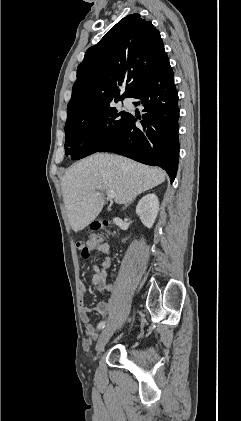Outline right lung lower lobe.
<instances>
[{
  "mask_svg": "<svg viewBox=\"0 0 241 421\" xmlns=\"http://www.w3.org/2000/svg\"><path fill=\"white\" fill-rule=\"evenodd\" d=\"M130 97L139 100L135 105L144 107L142 127L135 126L140 117L130 114L118 136L98 152H114L147 165L160 166L173 182L179 160V108L168 57Z\"/></svg>",
  "mask_w": 241,
  "mask_h": 421,
  "instance_id": "obj_1",
  "label": "right lung lower lobe"
}]
</instances>
